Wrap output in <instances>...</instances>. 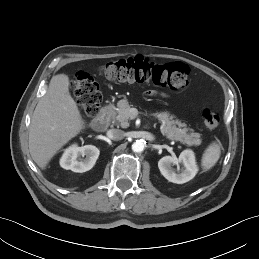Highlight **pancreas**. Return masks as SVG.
Masks as SVG:
<instances>
[{
  "label": "pancreas",
  "instance_id": "obj_1",
  "mask_svg": "<svg viewBox=\"0 0 259 259\" xmlns=\"http://www.w3.org/2000/svg\"><path fill=\"white\" fill-rule=\"evenodd\" d=\"M154 116L161 122V133L169 140L179 141L188 146H198L201 144V134L186 127L185 123L176 119L175 115L169 112H158ZM114 120L118 121L123 128L129 126L128 120L131 118L130 105L127 99H122L117 103V110L112 112Z\"/></svg>",
  "mask_w": 259,
  "mask_h": 259
}]
</instances>
